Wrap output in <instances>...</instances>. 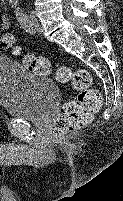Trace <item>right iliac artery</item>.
Here are the masks:
<instances>
[{"label":"right iliac artery","mask_w":123,"mask_h":201,"mask_svg":"<svg viewBox=\"0 0 123 201\" xmlns=\"http://www.w3.org/2000/svg\"><path fill=\"white\" fill-rule=\"evenodd\" d=\"M18 0H9V3L12 7H16L18 5Z\"/></svg>","instance_id":"1"}]
</instances>
